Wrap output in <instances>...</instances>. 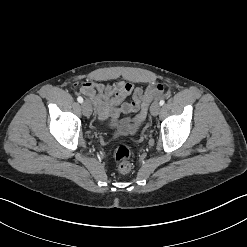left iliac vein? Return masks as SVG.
Wrapping results in <instances>:
<instances>
[{
    "label": "left iliac vein",
    "instance_id": "obj_1",
    "mask_svg": "<svg viewBox=\"0 0 247 247\" xmlns=\"http://www.w3.org/2000/svg\"><path fill=\"white\" fill-rule=\"evenodd\" d=\"M160 109H161V105L159 103H153L150 108V112L153 116H157L160 112Z\"/></svg>",
    "mask_w": 247,
    "mask_h": 247
}]
</instances>
